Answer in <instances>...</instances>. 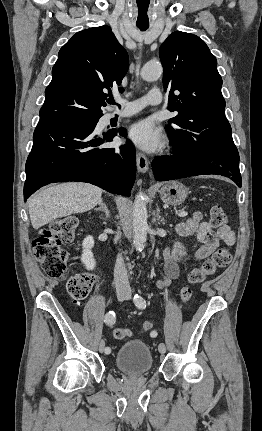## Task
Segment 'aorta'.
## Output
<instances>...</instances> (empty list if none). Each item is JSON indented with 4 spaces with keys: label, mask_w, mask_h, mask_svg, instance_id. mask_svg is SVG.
<instances>
[{
    "label": "aorta",
    "mask_w": 262,
    "mask_h": 431,
    "mask_svg": "<svg viewBox=\"0 0 262 431\" xmlns=\"http://www.w3.org/2000/svg\"><path fill=\"white\" fill-rule=\"evenodd\" d=\"M163 68L159 62L146 63L141 70V77L145 81L157 80ZM147 208L143 192H139L133 204V244L137 251L142 252L146 245L148 224Z\"/></svg>",
    "instance_id": "762f6f07"
}]
</instances>
